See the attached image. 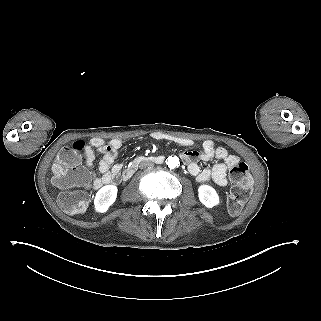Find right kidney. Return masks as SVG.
Segmentation results:
<instances>
[{"label": "right kidney", "instance_id": "obj_1", "mask_svg": "<svg viewBox=\"0 0 321 321\" xmlns=\"http://www.w3.org/2000/svg\"><path fill=\"white\" fill-rule=\"evenodd\" d=\"M118 188L116 185H105L96 193L93 203L96 213H107L117 199Z\"/></svg>", "mask_w": 321, "mask_h": 321}]
</instances>
